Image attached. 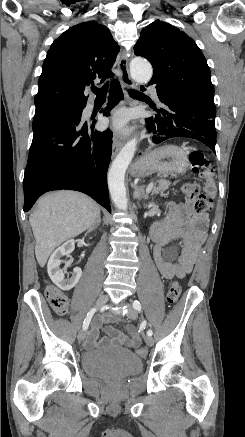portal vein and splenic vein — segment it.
Returning <instances> with one entry per match:
<instances>
[{"label":"portal vein and splenic vein","instance_id":"1","mask_svg":"<svg viewBox=\"0 0 245 437\" xmlns=\"http://www.w3.org/2000/svg\"><path fill=\"white\" fill-rule=\"evenodd\" d=\"M152 188H153V182L148 184V186L146 188V193L149 194L151 192Z\"/></svg>","mask_w":245,"mask_h":437}]
</instances>
